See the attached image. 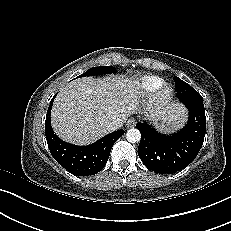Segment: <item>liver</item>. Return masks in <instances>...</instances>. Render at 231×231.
<instances>
[{
    "label": "liver",
    "mask_w": 231,
    "mask_h": 231,
    "mask_svg": "<svg viewBox=\"0 0 231 231\" xmlns=\"http://www.w3.org/2000/svg\"><path fill=\"white\" fill-rule=\"evenodd\" d=\"M136 84L121 77H85L68 83L52 107L51 124L55 133L78 145L95 142L110 132L108 121L127 118L137 110ZM169 114L177 127L186 121V110L181 104H174Z\"/></svg>",
    "instance_id": "6515ba94"
}]
</instances>
